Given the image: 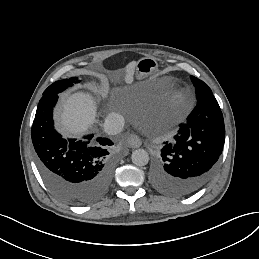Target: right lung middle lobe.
I'll return each mask as SVG.
<instances>
[{
	"instance_id": "obj_1",
	"label": "right lung middle lobe",
	"mask_w": 259,
	"mask_h": 259,
	"mask_svg": "<svg viewBox=\"0 0 259 259\" xmlns=\"http://www.w3.org/2000/svg\"><path fill=\"white\" fill-rule=\"evenodd\" d=\"M80 80H78L76 77H71L69 79L59 80L51 84L44 92L43 96L46 95H53L58 94L68 87L73 86L74 83H79Z\"/></svg>"
}]
</instances>
